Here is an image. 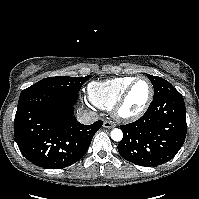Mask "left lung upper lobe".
<instances>
[{
    "instance_id": "1",
    "label": "left lung upper lobe",
    "mask_w": 199,
    "mask_h": 199,
    "mask_svg": "<svg viewBox=\"0 0 199 199\" xmlns=\"http://www.w3.org/2000/svg\"><path fill=\"white\" fill-rule=\"evenodd\" d=\"M146 75L152 82L154 87L153 100L165 95L174 94L178 92L168 81L164 80L163 78L152 76L149 74Z\"/></svg>"
}]
</instances>
